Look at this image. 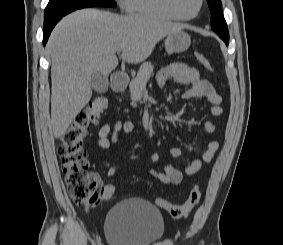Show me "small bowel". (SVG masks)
Segmentation results:
<instances>
[{"instance_id": "obj_1", "label": "small bowel", "mask_w": 283, "mask_h": 245, "mask_svg": "<svg viewBox=\"0 0 283 245\" xmlns=\"http://www.w3.org/2000/svg\"><path fill=\"white\" fill-rule=\"evenodd\" d=\"M172 80L190 86L183 94L184 99L205 98L210 104V114L212 116H220L222 114L221 97L216 92L212 83L202 78L196 68L184 63H172L161 69L157 74V83L160 87L165 86ZM134 128L135 124L132 121L117 120L113 125L104 124L98 132L97 145L102 149H106L111 144L116 143L123 135L131 133ZM202 129L206 134H212L215 131V125L211 121H205ZM218 148V142L216 140H210L200 158L195 159L183 169L167 164L163 170H160L157 165L161 161L162 156L159 153H153L149 156V160L152 163L149 173L164 184L177 185L182 181L184 174L194 175L199 172L204 164L210 163ZM167 153L170 157L176 158L179 156L180 151L177 148H169ZM116 173V167H110L106 172L108 177H114ZM93 177L98 186L102 187L101 178L98 175H94Z\"/></svg>"}]
</instances>
